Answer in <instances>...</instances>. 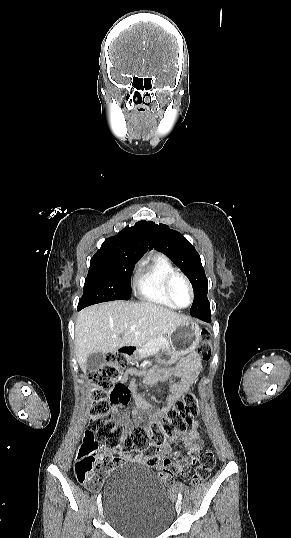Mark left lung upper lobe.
<instances>
[{
	"mask_svg": "<svg viewBox=\"0 0 291 538\" xmlns=\"http://www.w3.org/2000/svg\"><path fill=\"white\" fill-rule=\"evenodd\" d=\"M151 246L164 252L188 277L194 301L190 314L203 307H210L207 299L208 281L199 254L195 247L179 232L164 224L148 221Z\"/></svg>",
	"mask_w": 291,
	"mask_h": 538,
	"instance_id": "obj_1",
	"label": "left lung upper lobe"
}]
</instances>
